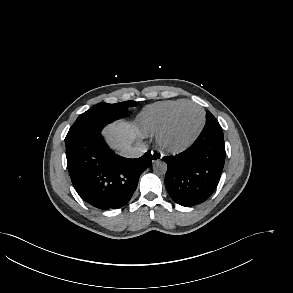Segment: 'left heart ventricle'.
I'll return each mask as SVG.
<instances>
[{
  "instance_id": "b2bd125f",
  "label": "left heart ventricle",
  "mask_w": 293,
  "mask_h": 293,
  "mask_svg": "<svg viewBox=\"0 0 293 293\" xmlns=\"http://www.w3.org/2000/svg\"><path fill=\"white\" fill-rule=\"evenodd\" d=\"M202 120L201 111L192 106L183 108L176 116L165 141L177 147L188 142L197 132Z\"/></svg>"
}]
</instances>
